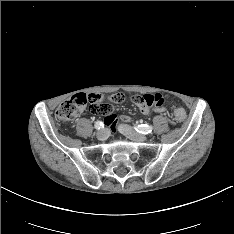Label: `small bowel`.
Wrapping results in <instances>:
<instances>
[{"instance_id":"obj_1","label":"small bowel","mask_w":234,"mask_h":234,"mask_svg":"<svg viewBox=\"0 0 234 234\" xmlns=\"http://www.w3.org/2000/svg\"><path fill=\"white\" fill-rule=\"evenodd\" d=\"M119 103L121 101H130L131 105L135 108H139L142 113H149L150 109L155 108L154 111L162 113L166 109L162 107L166 101V98L161 93H135L130 98H125L124 93L117 92L112 97H107L104 94L91 93L86 98L88 110L93 115H99L102 117V123L107 128H114L117 123V118L114 115L116 112L115 107L108 103L112 101ZM121 121H129V117L122 115Z\"/></svg>"}]
</instances>
